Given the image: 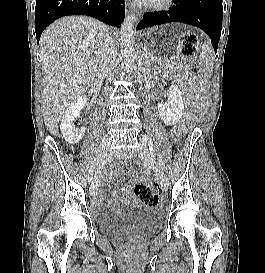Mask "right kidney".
I'll return each instance as SVG.
<instances>
[{"label":"right kidney","instance_id":"right-kidney-1","mask_svg":"<svg viewBox=\"0 0 265 273\" xmlns=\"http://www.w3.org/2000/svg\"><path fill=\"white\" fill-rule=\"evenodd\" d=\"M87 97L82 95L73 101L66 109L61 119L60 130L65 141L69 144L78 143L85 134L86 128L75 129V118L79 116L80 111L86 106Z\"/></svg>","mask_w":265,"mask_h":273}]
</instances>
